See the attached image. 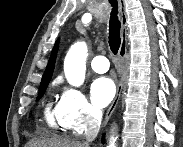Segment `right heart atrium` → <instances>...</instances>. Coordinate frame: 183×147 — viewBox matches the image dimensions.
Returning <instances> with one entry per match:
<instances>
[{"instance_id":"1","label":"right heart atrium","mask_w":183,"mask_h":147,"mask_svg":"<svg viewBox=\"0 0 183 147\" xmlns=\"http://www.w3.org/2000/svg\"><path fill=\"white\" fill-rule=\"evenodd\" d=\"M59 108L65 127L77 134L94 127L100 119L99 110L76 88L64 89L59 100Z\"/></svg>"}]
</instances>
